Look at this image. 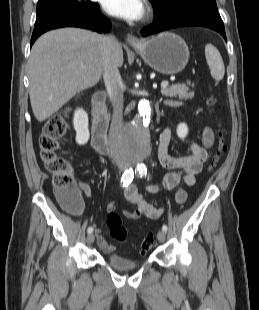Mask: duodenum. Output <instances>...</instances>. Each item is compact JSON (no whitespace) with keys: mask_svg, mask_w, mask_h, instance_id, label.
<instances>
[{"mask_svg":"<svg viewBox=\"0 0 259 310\" xmlns=\"http://www.w3.org/2000/svg\"><path fill=\"white\" fill-rule=\"evenodd\" d=\"M106 94L96 93L93 97V123L91 143L94 150L100 154H107L109 146L107 143L108 116L105 107Z\"/></svg>","mask_w":259,"mask_h":310,"instance_id":"1","label":"duodenum"}]
</instances>
